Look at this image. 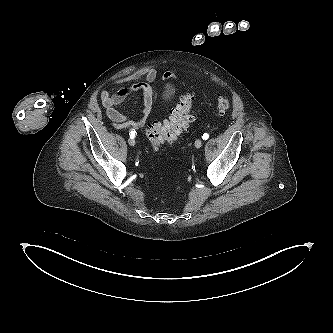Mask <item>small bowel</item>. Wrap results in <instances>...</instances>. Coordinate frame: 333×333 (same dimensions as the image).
Listing matches in <instances>:
<instances>
[{"label":"small bowel","mask_w":333,"mask_h":333,"mask_svg":"<svg viewBox=\"0 0 333 333\" xmlns=\"http://www.w3.org/2000/svg\"><path fill=\"white\" fill-rule=\"evenodd\" d=\"M157 77L156 70L151 66H143L132 73L114 81L116 89L104 90L100 94L101 103L105 109L107 118L112 122L115 129H130L136 131L146 124L152 110L153 101L156 98V92L152 83ZM165 79L173 78L171 72L164 74ZM128 85V86H127ZM141 92L143 99V109L138 120L129 119L120 113L116 106L126 100L134 93Z\"/></svg>","instance_id":"small-bowel-1"}]
</instances>
